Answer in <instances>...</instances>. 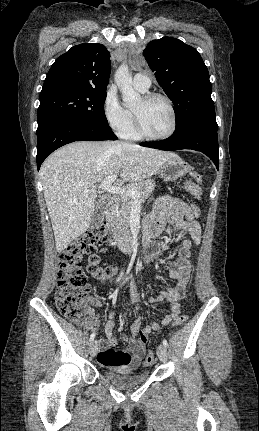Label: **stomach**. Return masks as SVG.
Segmentation results:
<instances>
[{
    "instance_id": "stomach-1",
    "label": "stomach",
    "mask_w": 259,
    "mask_h": 431,
    "mask_svg": "<svg viewBox=\"0 0 259 431\" xmlns=\"http://www.w3.org/2000/svg\"><path fill=\"white\" fill-rule=\"evenodd\" d=\"M190 171V165L183 161L179 156L167 160L158 174L165 181H176Z\"/></svg>"
}]
</instances>
